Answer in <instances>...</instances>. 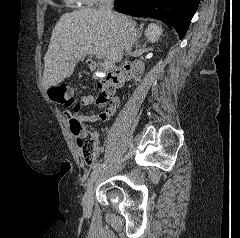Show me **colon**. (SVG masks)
Returning <instances> with one entry per match:
<instances>
[{
	"label": "colon",
	"instance_id": "5ec220e1",
	"mask_svg": "<svg viewBox=\"0 0 240 238\" xmlns=\"http://www.w3.org/2000/svg\"><path fill=\"white\" fill-rule=\"evenodd\" d=\"M142 72V66L139 64H131L128 67L109 72L98 85L100 90L98 104L109 105L114 99L116 91L125 82L140 78ZM74 93V87L67 83H61L48 90L50 99L63 105H71L74 102ZM69 126L72 134L76 137L81 157L86 163H93L98 156V141L94 132L87 129L82 122L74 117L69 119Z\"/></svg>",
	"mask_w": 240,
	"mask_h": 238
}]
</instances>
